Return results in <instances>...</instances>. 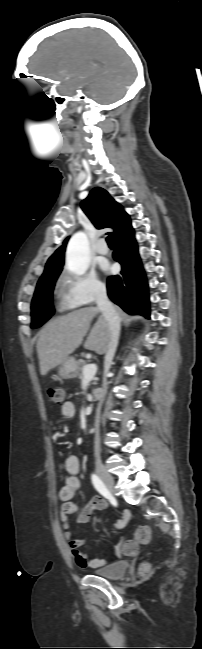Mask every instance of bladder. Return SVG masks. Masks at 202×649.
I'll return each instance as SVG.
<instances>
[{"label": "bladder", "mask_w": 202, "mask_h": 649, "mask_svg": "<svg viewBox=\"0 0 202 649\" xmlns=\"http://www.w3.org/2000/svg\"><path fill=\"white\" fill-rule=\"evenodd\" d=\"M128 569L126 560L117 561L94 570L93 574L107 579H117Z\"/></svg>", "instance_id": "31cf9c89"}]
</instances>
